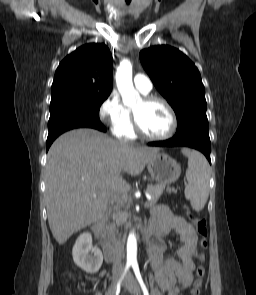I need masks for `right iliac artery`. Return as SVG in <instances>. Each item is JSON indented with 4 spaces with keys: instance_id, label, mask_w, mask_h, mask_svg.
Returning a JSON list of instances; mask_svg holds the SVG:
<instances>
[{
    "instance_id": "obj_1",
    "label": "right iliac artery",
    "mask_w": 256,
    "mask_h": 295,
    "mask_svg": "<svg viewBox=\"0 0 256 295\" xmlns=\"http://www.w3.org/2000/svg\"><path fill=\"white\" fill-rule=\"evenodd\" d=\"M130 266H131V263H127V264H126V267H125L124 273H123L122 277L120 278L119 282L117 283V286H116L117 290L120 289L121 281H122V279L124 278L126 272L129 270Z\"/></svg>"
}]
</instances>
